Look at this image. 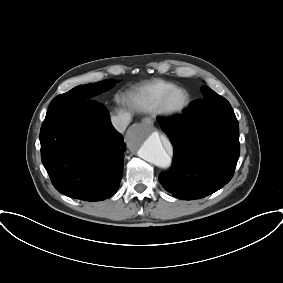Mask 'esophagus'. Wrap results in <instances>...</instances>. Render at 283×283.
Masks as SVG:
<instances>
[{"instance_id":"obj_1","label":"esophagus","mask_w":283,"mask_h":283,"mask_svg":"<svg viewBox=\"0 0 283 283\" xmlns=\"http://www.w3.org/2000/svg\"><path fill=\"white\" fill-rule=\"evenodd\" d=\"M144 122L147 123V124H150L152 121H151L150 118H145V119H144Z\"/></svg>"}]
</instances>
